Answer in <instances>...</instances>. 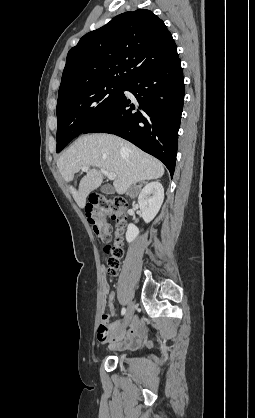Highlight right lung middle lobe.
<instances>
[{
  "label": "right lung middle lobe",
  "instance_id": "1",
  "mask_svg": "<svg viewBox=\"0 0 255 418\" xmlns=\"http://www.w3.org/2000/svg\"><path fill=\"white\" fill-rule=\"evenodd\" d=\"M125 87L124 83L100 82L58 94L56 152L108 114Z\"/></svg>",
  "mask_w": 255,
  "mask_h": 418
}]
</instances>
